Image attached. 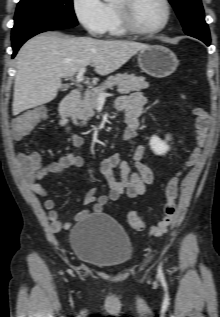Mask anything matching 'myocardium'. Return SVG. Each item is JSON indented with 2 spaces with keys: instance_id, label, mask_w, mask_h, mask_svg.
I'll return each mask as SVG.
<instances>
[{
  "instance_id": "f54148a6",
  "label": "myocardium",
  "mask_w": 220,
  "mask_h": 317,
  "mask_svg": "<svg viewBox=\"0 0 220 317\" xmlns=\"http://www.w3.org/2000/svg\"><path fill=\"white\" fill-rule=\"evenodd\" d=\"M136 0H117L114 10L121 28L131 35L151 36L162 32L170 23L172 18V5L169 0H161L164 4L166 15L161 25L153 29H141L136 26L132 18V7Z\"/></svg>"
}]
</instances>
